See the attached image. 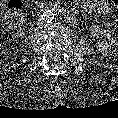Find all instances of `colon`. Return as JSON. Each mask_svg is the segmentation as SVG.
<instances>
[{
	"mask_svg": "<svg viewBox=\"0 0 118 118\" xmlns=\"http://www.w3.org/2000/svg\"><path fill=\"white\" fill-rule=\"evenodd\" d=\"M22 19V4L19 0H13L4 15V24L6 27H16Z\"/></svg>",
	"mask_w": 118,
	"mask_h": 118,
	"instance_id": "1",
	"label": "colon"
}]
</instances>
